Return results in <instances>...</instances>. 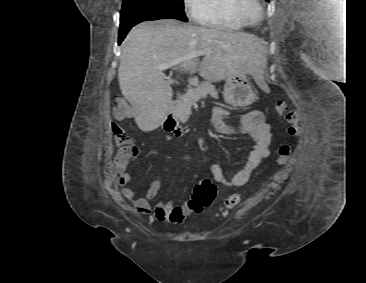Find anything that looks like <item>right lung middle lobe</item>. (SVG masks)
Listing matches in <instances>:
<instances>
[{
  "mask_svg": "<svg viewBox=\"0 0 366 283\" xmlns=\"http://www.w3.org/2000/svg\"><path fill=\"white\" fill-rule=\"evenodd\" d=\"M163 18L188 21L183 0H123L120 24Z\"/></svg>",
  "mask_w": 366,
  "mask_h": 283,
  "instance_id": "right-lung-middle-lobe-1",
  "label": "right lung middle lobe"
}]
</instances>
